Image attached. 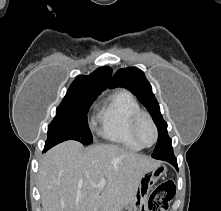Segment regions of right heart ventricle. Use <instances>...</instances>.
Instances as JSON below:
<instances>
[{"label": "right heart ventricle", "instance_id": "right-heart-ventricle-1", "mask_svg": "<svg viewBox=\"0 0 221 211\" xmlns=\"http://www.w3.org/2000/svg\"><path fill=\"white\" fill-rule=\"evenodd\" d=\"M139 111L141 107L130 91L120 89L111 93L96 117L99 135L126 149L140 151L142 147L134 140L130 129L131 119Z\"/></svg>", "mask_w": 221, "mask_h": 211}]
</instances>
